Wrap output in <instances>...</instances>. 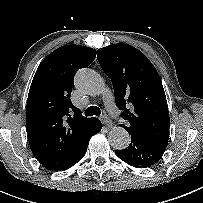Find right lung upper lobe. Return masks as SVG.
<instances>
[{"instance_id": "cb5924a9", "label": "right lung upper lobe", "mask_w": 203, "mask_h": 203, "mask_svg": "<svg viewBox=\"0 0 203 203\" xmlns=\"http://www.w3.org/2000/svg\"><path fill=\"white\" fill-rule=\"evenodd\" d=\"M96 50L65 45L39 65L30 86L26 131L34 157L49 170H62L89 135L97 118H85L70 95L74 75L89 66Z\"/></svg>"}]
</instances>
